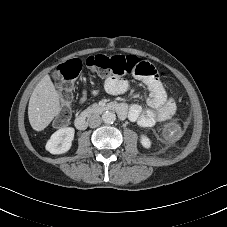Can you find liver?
<instances>
[{
  "instance_id": "liver-1",
  "label": "liver",
  "mask_w": 227,
  "mask_h": 227,
  "mask_svg": "<svg viewBox=\"0 0 227 227\" xmlns=\"http://www.w3.org/2000/svg\"><path fill=\"white\" fill-rule=\"evenodd\" d=\"M61 111L59 95L50 76L45 75L34 88L28 105V117L35 131L44 130Z\"/></svg>"
}]
</instances>
